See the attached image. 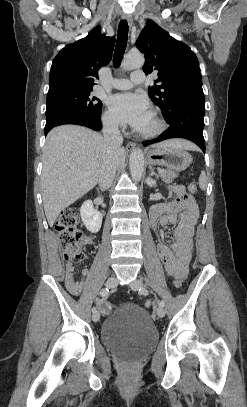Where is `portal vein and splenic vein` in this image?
<instances>
[{
    "label": "portal vein and splenic vein",
    "instance_id": "obj_1",
    "mask_svg": "<svg viewBox=\"0 0 247 407\" xmlns=\"http://www.w3.org/2000/svg\"><path fill=\"white\" fill-rule=\"evenodd\" d=\"M158 172H159V173H162V172H163V170H159Z\"/></svg>",
    "mask_w": 247,
    "mask_h": 407
}]
</instances>
